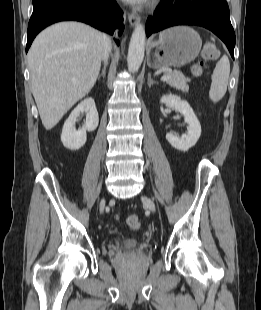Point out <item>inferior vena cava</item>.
I'll return each instance as SVG.
<instances>
[{"label": "inferior vena cava", "mask_w": 261, "mask_h": 310, "mask_svg": "<svg viewBox=\"0 0 261 310\" xmlns=\"http://www.w3.org/2000/svg\"><path fill=\"white\" fill-rule=\"evenodd\" d=\"M111 49V38L108 35H104V45L102 53V60L104 61V63H107Z\"/></svg>", "instance_id": "inferior-vena-cava-1"}]
</instances>
